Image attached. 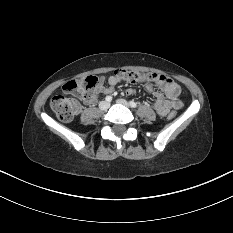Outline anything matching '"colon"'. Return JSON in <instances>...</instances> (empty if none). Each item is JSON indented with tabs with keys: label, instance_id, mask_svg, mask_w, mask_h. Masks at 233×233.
<instances>
[{
	"label": "colon",
	"instance_id": "5ec220e1",
	"mask_svg": "<svg viewBox=\"0 0 233 233\" xmlns=\"http://www.w3.org/2000/svg\"><path fill=\"white\" fill-rule=\"evenodd\" d=\"M120 80L132 83L137 82H157L159 76L155 73H141L120 69L115 72ZM99 83L95 76H86L78 80H70L63 85V91L73 97L63 95L55 96L51 101V108L57 117L64 122L71 121L80 110V99H85L94 94ZM175 112L169 114V118H174Z\"/></svg>",
	"mask_w": 233,
	"mask_h": 233
}]
</instances>
